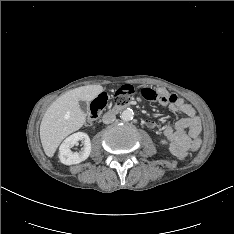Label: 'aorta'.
Masks as SVG:
<instances>
[{
	"label": "aorta",
	"instance_id": "1",
	"mask_svg": "<svg viewBox=\"0 0 234 234\" xmlns=\"http://www.w3.org/2000/svg\"><path fill=\"white\" fill-rule=\"evenodd\" d=\"M133 116H134V113H133V110L128 108V109H125L124 111H122V113L120 114V118L123 120V121H130L133 119Z\"/></svg>",
	"mask_w": 234,
	"mask_h": 234
}]
</instances>
